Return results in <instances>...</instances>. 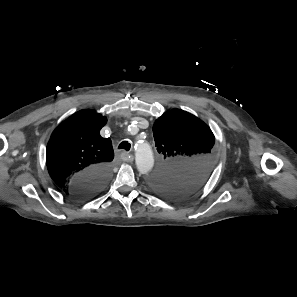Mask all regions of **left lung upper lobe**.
I'll return each mask as SVG.
<instances>
[{"mask_svg":"<svg viewBox=\"0 0 297 297\" xmlns=\"http://www.w3.org/2000/svg\"><path fill=\"white\" fill-rule=\"evenodd\" d=\"M160 164L150 180L158 193L180 198L197 191L211 174L215 137L199 118L174 109L153 125Z\"/></svg>","mask_w":297,"mask_h":297,"instance_id":"obj_1","label":"left lung upper lobe"}]
</instances>
